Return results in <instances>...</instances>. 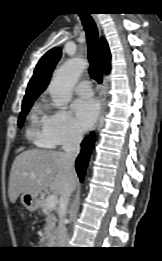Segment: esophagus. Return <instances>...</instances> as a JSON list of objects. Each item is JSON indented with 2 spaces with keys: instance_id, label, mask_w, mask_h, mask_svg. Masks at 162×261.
Listing matches in <instances>:
<instances>
[{
  "instance_id": "34e87169",
  "label": "esophagus",
  "mask_w": 162,
  "mask_h": 261,
  "mask_svg": "<svg viewBox=\"0 0 162 261\" xmlns=\"http://www.w3.org/2000/svg\"><path fill=\"white\" fill-rule=\"evenodd\" d=\"M95 22H96V25L98 27V30H99V33L101 35L102 33V28H101V24L99 22V19L97 18L96 15L93 16ZM105 99H106V77H104V81H103V84L101 86V90H100V113H99V117H98V120L94 126V131H96L99 127V124H100V121L103 117V114H104V111H105Z\"/></svg>"
}]
</instances>
